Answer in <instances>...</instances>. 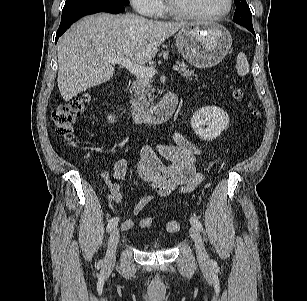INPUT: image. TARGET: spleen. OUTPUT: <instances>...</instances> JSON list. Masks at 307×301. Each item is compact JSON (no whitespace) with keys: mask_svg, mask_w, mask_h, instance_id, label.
Returning a JSON list of instances; mask_svg holds the SVG:
<instances>
[{"mask_svg":"<svg viewBox=\"0 0 307 301\" xmlns=\"http://www.w3.org/2000/svg\"><path fill=\"white\" fill-rule=\"evenodd\" d=\"M236 69L240 76H245L249 72L250 66L243 52L237 56Z\"/></svg>","mask_w":307,"mask_h":301,"instance_id":"spleen-1","label":"spleen"}]
</instances>
